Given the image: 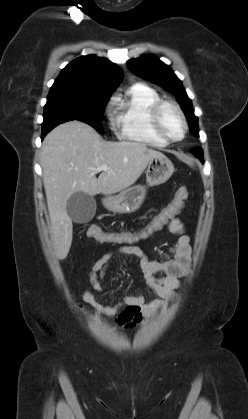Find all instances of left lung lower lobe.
<instances>
[{
    "label": "left lung lower lobe",
    "mask_w": 248,
    "mask_h": 419,
    "mask_svg": "<svg viewBox=\"0 0 248 419\" xmlns=\"http://www.w3.org/2000/svg\"><path fill=\"white\" fill-rule=\"evenodd\" d=\"M196 157H198L202 162L203 160V152L202 150L198 149L192 152Z\"/></svg>",
    "instance_id": "obj_1"
}]
</instances>
